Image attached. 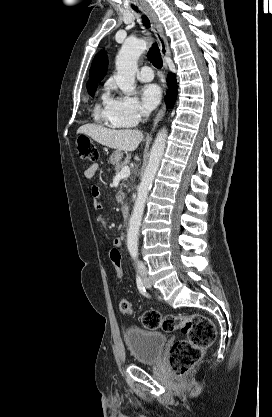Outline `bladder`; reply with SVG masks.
<instances>
[{
  "instance_id": "1",
  "label": "bladder",
  "mask_w": 272,
  "mask_h": 417,
  "mask_svg": "<svg viewBox=\"0 0 272 417\" xmlns=\"http://www.w3.org/2000/svg\"><path fill=\"white\" fill-rule=\"evenodd\" d=\"M124 341L136 362L155 364L161 359L166 337L160 332L129 327L124 332Z\"/></svg>"
}]
</instances>
